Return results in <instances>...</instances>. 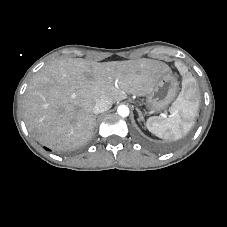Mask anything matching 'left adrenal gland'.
Returning <instances> with one entry per match:
<instances>
[{"instance_id":"1","label":"left adrenal gland","mask_w":227,"mask_h":227,"mask_svg":"<svg viewBox=\"0 0 227 227\" xmlns=\"http://www.w3.org/2000/svg\"><path fill=\"white\" fill-rule=\"evenodd\" d=\"M137 112H138V115H139L138 122L144 121V117L142 115V112L139 109H137Z\"/></svg>"}]
</instances>
